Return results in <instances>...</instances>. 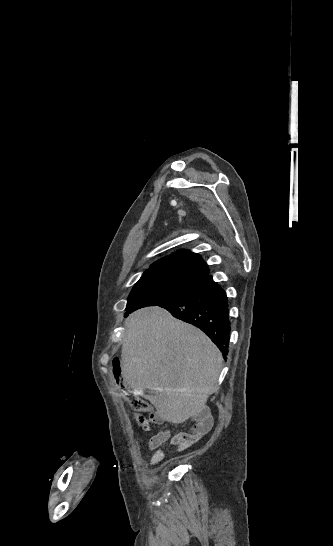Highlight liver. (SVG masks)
Instances as JSON below:
<instances>
[{
    "mask_svg": "<svg viewBox=\"0 0 333 546\" xmlns=\"http://www.w3.org/2000/svg\"><path fill=\"white\" fill-rule=\"evenodd\" d=\"M122 345L124 383L143 395L166 421L182 423L207 410L223 357L198 328L160 307L132 313Z\"/></svg>",
    "mask_w": 333,
    "mask_h": 546,
    "instance_id": "liver-1",
    "label": "liver"
}]
</instances>
